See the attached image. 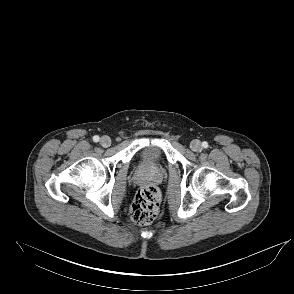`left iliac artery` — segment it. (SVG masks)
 Returning a JSON list of instances; mask_svg holds the SVG:
<instances>
[{"mask_svg":"<svg viewBox=\"0 0 294 294\" xmlns=\"http://www.w3.org/2000/svg\"><path fill=\"white\" fill-rule=\"evenodd\" d=\"M202 146H203L204 148H207V147H208V143H207V142H203V143H202Z\"/></svg>","mask_w":294,"mask_h":294,"instance_id":"1","label":"left iliac artery"}]
</instances>
